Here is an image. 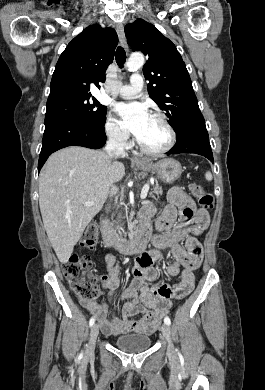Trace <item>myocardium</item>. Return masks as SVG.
Masks as SVG:
<instances>
[{
  "instance_id": "myocardium-1",
  "label": "myocardium",
  "mask_w": 265,
  "mask_h": 390,
  "mask_svg": "<svg viewBox=\"0 0 265 390\" xmlns=\"http://www.w3.org/2000/svg\"><path fill=\"white\" fill-rule=\"evenodd\" d=\"M150 116L157 119L158 121H160L162 123V125L165 127V129L168 133V141H167L166 145L160 149L153 150V149H149V148L145 147L139 141L138 138H136V143H137V146L140 149V151H142L144 154H147L150 156H160V155L166 154L174 147V145L176 143V132H175L173 126L171 125V123L168 121V119L163 114H161L159 112H153Z\"/></svg>"
}]
</instances>
